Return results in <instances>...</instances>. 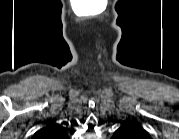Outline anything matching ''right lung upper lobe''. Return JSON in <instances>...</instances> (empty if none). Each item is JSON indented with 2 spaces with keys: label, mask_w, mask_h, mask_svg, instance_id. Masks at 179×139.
I'll return each mask as SVG.
<instances>
[{
  "label": "right lung upper lobe",
  "mask_w": 179,
  "mask_h": 139,
  "mask_svg": "<svg viewBox=\"0 0 179 139\" xmlns=\"http://www.w3.org/2000/svg\"><path fill=\"white\" fill-rule=\"evenodd\" d=\"M54 138L56 137V139H58L57 137L66 139L68 138L65 129L62 125L59 124H50L47 127H44L40 130H38L35 133V138L37 139H45V138Z\"/></svg>",
  "instance_id": "right-lung-upper-lobe-1"
}]
</instances>
